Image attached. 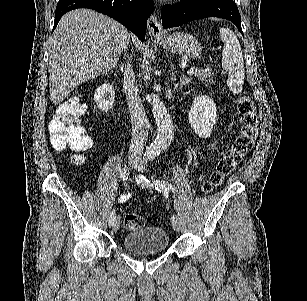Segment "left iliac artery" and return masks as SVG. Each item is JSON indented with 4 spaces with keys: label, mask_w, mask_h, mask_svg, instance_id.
I'll list each match as a JSON object with an SVG mask.
<instances>
[{
    "label": "left iliac artery",
    "mask_w": 307,
    "mask_h": 301,
    "mask_svg": "<svg viewBox=\"0 0 307 301\" xmlns=\"http://www.w3.org/2000/svg\"><path fill=\"white\" fill-rule=\"evenodd\" d=\"M137 182L141 185H145L147 187H154L156 190L158 191H162V192H166V191H169V190H172L174 191L175 190V187L165 181V180H154V181H149L148 179H146L143 175H138L137 176Z\"/></svg>",
    "instance_id": "44dca946"
}]
</instances>
